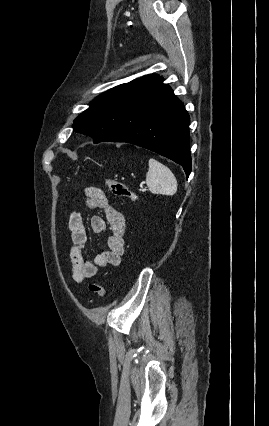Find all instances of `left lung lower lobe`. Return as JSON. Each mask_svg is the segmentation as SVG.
I'll use <instances>...</instances> for the list:
<instances>
[{"mask_svg":"<svg viewBox=\"0 0 269 426\" xmlns=\"http://www.w3.org/2000/svg\"><path fill=\"white\" fill-rule=\"evenodd\" d=\"M189 121L184 105L158 76L132 96L117 126L103 142H127L154 151L181 165L188 178Z\"/></svg>","mask_w":269,"mask_h":426,"instance_id":"left-lung-lower-lobe-1","label":"left lung lower lobe"}]
</instances>
